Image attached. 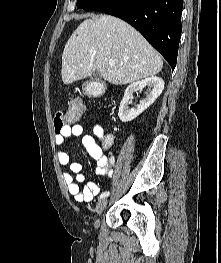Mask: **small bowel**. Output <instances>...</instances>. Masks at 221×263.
Masks as SVG:
<instances>
[{
	"label": "small bowel",
	"mask_w": 221,
	"mask_h": 263,
	"mask_svg": "<svg viewBox=\"0 0 221 263\" xmlns=\"http://www.w3.org/2000/svg\"><path fill=\"white\" fill-rule=\"evenodd\" d=\"M92 132L93 136L84 134L83 126L80 124L68 126L60 134L55 135V144L61 148L65 145L67 139L81 137L82 145L97 164V175L111 178L116 164V157L111 151L114 136L113 134L105 133L103 127L99 124L93 126ZM94 137H97L99 141L97 142ZM57 158L61 165L68 166L70 169V172H64L62 175L67 192L78 203H90L99 194L98 184L89 182L83 189H80L78 182L85 179L82 173V164L71 161L69 154L63 150H58Z\"/></svg>",
	"instance_id": "c3829d8e"
}]
</instances>
